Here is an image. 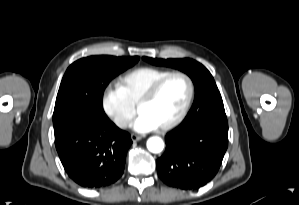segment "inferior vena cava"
<instances>
[{"label": "inferior vena cava", "mask_w": 299, "mask_h": 205, "mask_svg": "<svg viewBox=\"0 0 299 205\" xmlns=\"http://www.w3.org/2000/svg\"><path fill=\"white\" fill-rule=\"evenodd\" d=\"M116 124L119 127H127L129 125V121L124 118H118V119H116Z\"/></svg>", "instance_id": "602c4592"}]
</instances>
